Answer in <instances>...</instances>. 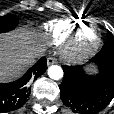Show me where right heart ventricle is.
<instances>
[{
  "label": "right heart ventricle",
  "mask_w": 114,
  "mask_h": 114,
  "mask_svg": "<svg viewBox=\"0 0 114 114\" xmlns=\"http://www.w3.org/2000/svg\"><path fill=\"white\" fill-rule=\"evenodd\" d=\"M77 24L78 21L73 19H54L47 22L43 26V30L54 44H61L67 40L70 32Z\"/></svg>",
  "instance_id": "right-heart-ventricle-1"
}]
</instances>
